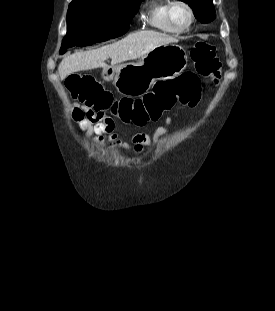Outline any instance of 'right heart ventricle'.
<instances>
[{"label": "right heart ventricle", "mask_w": 275, "mask_h": 311, "mask_svg": "<svg viewBox=\"0 0 275 311\" xmlns=\"http://www.w3.org/2000/svg\"><path fill=\"white\" fill-rule=\"evenodd\" d=\"M170 0H150L146 11L145 20L148 25L157 31L164 33H179L169 23L166 17V10Z\"/></svg>", "instance_id": "e07e8e85"}]
</instances>
